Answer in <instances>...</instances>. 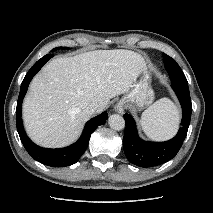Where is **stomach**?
I'll list each match as a JSON object with an SVG mask.
<instances>
[{
	"mask_svg": "<svg viewBox=\"0 0 213 213\" xmlns=\"http://www.w3.org/2000/svg\"><path fill=\"white\" fill-rule=\"evenodd\" d=\"M150 77L147 73L143 75L138 83H134L131 89L122 97L121 102L133 111L149 106L154 99V92L149 84Z\"/></svg>",
	"mask_w": 213,
	"mask_h": 213,
	"instance_id": "obj_1",
	"label": "stomach"
}]
</instances>
